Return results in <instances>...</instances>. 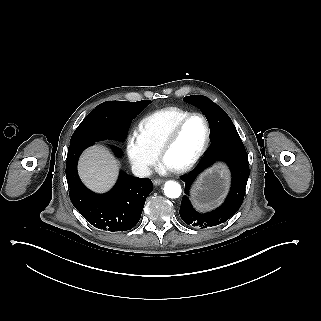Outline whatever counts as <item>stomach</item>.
<instances>
[{
    "label": "stomach",
    "mask_w": 321,
    "mask_h": 321,
    "mask_svg": "<svg viewBox=\"0 0 321 321\" xmlns=\"http://www.w3.org/2000/svg\"><path fill=\"white\" fill-rule=\"evenodd\" d=\"M229 186V174L222 165L204 172L191 191L193 203L201 209H209L219 204Z\"/></svg>",
    "instance_id": "0dacf381"
}]
</instances>
